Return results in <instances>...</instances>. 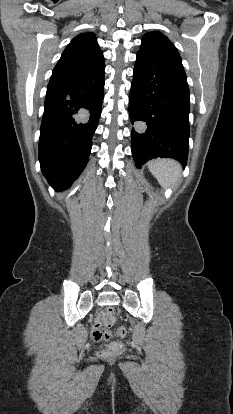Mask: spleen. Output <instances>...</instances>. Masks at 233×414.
Masks as SVG:
<instances>
[{
  "label": "spleen",
  "mask_w": 233,
  "mask_h": 414,
  "mask_svg": "<svg viewBox=\"0 0 233 414\" xmlns=\"http://www.w3.org/2000/svg\"><path fill=\"white\" fill-rule=\"evenodd\" d=\"M148 168L163 188L175 186L180 181L181 165L173 159L152 160Z\"/></svg>",
  "instance_id": "obj_1"
}]
</instances>
